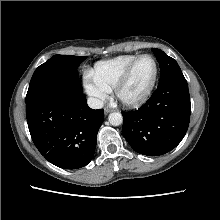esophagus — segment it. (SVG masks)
I'll use <instances>...</instances> for the list:
<instances>
[{
  "label": "esophagus",
  "instance_id": "1",
  "mask_svg": "<svg viewBox=\"0 0 220 220\" xmlns=\"http://www.w3.org/2000/svg\"><path fill=\"white\" fill-rule=\"evenodd\" d=\"M111 111H113V109L109 108V107H105L104 112L105 114L110 113Z\"/></svg>",
  "mask_w": 220,
  "mask_h": 220
}]
</instances>
